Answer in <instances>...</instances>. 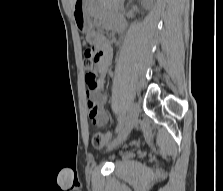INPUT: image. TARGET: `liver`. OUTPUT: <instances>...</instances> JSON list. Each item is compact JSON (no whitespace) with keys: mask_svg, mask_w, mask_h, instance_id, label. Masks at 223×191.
<instances>
[{"mask_svg":"<svg viewBox=\"0 0 223 191\" xmlns=\"http://www.w3.org/2000/svg\"><path fill=\"white\" fill-rule=\"evenodd\" d=\"M75 1H76V0H70L72 9H73V6H74Z\"/></svg>","mask_w":223,"mask_h":191,"instance_id":"6515ba94","label":"liver"}]
</instances>
